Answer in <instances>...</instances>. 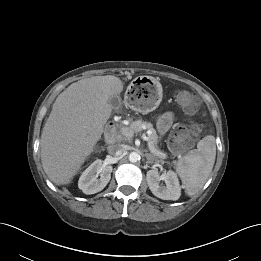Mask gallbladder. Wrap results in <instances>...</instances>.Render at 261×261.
Instances as JSON below:
<instances>
[{
	"mask_svg": "<svg viewBox=\"0 0 261 261\" xmlns=\"http://www.w3.org/2000/svg\"><path fill=\"white\" fill-rule=\"evenodd\" d=\"M108 103L111 105V107L113 109H115V108H119L121 106L122 101H121V99L118 96H112L108 100Z\"/></svg>",
	"mask_w": 261,
	"mask_h": 261,
	"instance_id": "obj_1",
	"label": "gallbladder"
}]
</instances>
